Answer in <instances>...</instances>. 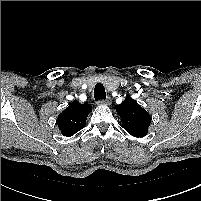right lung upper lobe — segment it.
Wrapping results in <instances>:
<instances>
[{"mask_svg":"<svg viewBox=\"0 0 201 201\" xmlns=\"http://www.w3.org/2000/svg\"><path fill=\"white\" fill-rule=\"evenodd\" d=\"M92 111L89 104H80L73 101L58 115L57 125L62 135L72 136L84 128L88 114Z\"/></svg>","mask_w":201,"mask_h":201,"instance_id":"1","label":"right lung upper lobe"}]
</instances>
